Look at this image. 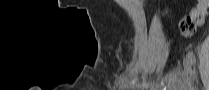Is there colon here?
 Here are the masks:
<instances>
[{
  "label": "colon",
  "mask_w": 209,
  "mask_h": 90,
  "mask_svg": "<svg viewBox=\"0 0 209 90\" xmlns=\"http://www.w3.org/2000/svg\"><path fill=\"white\" fill-rule=\"evenodd\" d=\"M209 11V0H200L197 5L178 23V31L184 37L191 36L201 26Z\"/></svg>",
  "instance_id": "colon-1"
}]
</instances>
